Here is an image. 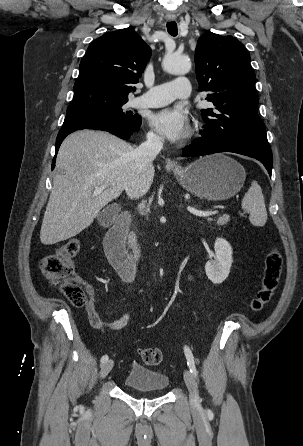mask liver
Here are the masks:
<instances>
[{
	"label": "liver",
	"instance_id": "6515ba94",
	"mask_svg": "<svg viewBox=\"0 0 303 446\" xmlns=\"http://www.w3.org/2000/svg\"><path fill=\"white\" fill-rule=\"evenodd\" d=\"M134 150L129 143L105 132L83 130L66 137L56 160L64 173L53 180L40 231L42 244L76 236L123 191L131 199L147 193L155 169L151 163L138 173ZM102 186V192L94 195Z\"/></svg>",
	"mask_w": 303,
	"mask_h": 446
}]
</instances>
